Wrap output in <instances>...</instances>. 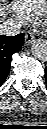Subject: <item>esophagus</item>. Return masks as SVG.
<instances>
[{"mask_svg": "<svg viewBox=\"0 0 47 129\" xmlns=\"http://www.w3.org/2000/svg\"><path fill=\"white\" fill-rule=\"evenodd\" d=\"M34 39H35V37H34L33 33L27 32L25 34V44L26 45H30L34 41Z\"/></svg>", "mask_w": 47, "mask_h": 129, "instance_id": "esophagus-1", "label": "esophagus"}]
</instances>
